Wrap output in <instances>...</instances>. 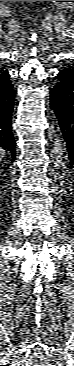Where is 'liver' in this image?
<instances>
[{
  "label": "liver",
  "instance_id": "obj_1",
  "mask_svg": "<svg viewBox=\"0 0 74 366\" xmlns=\"http://www.w3.org/2000/svg\"><path fill=\"white\" fill-rule=\"evenodd\" d=\"M5 155V151L1 149V158H3Z\"/></svg>",
  "mask_w": 74,
  "mask_h": 366
}]
</instances>
